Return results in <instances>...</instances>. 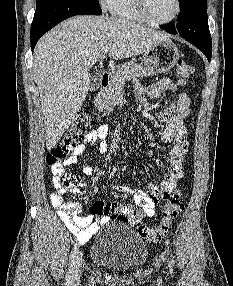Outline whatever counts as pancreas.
<instances>
[{"instance_id":"obj_1","label":"pancreas","mask_w":233,"mask_h":286,"mask_svg":"<svg viewBox=\"0 0 233 286\" xmlns=\"http://www.w3.org/2000/svg\"><path fill=\"white\" fill-rule=\"evenodd\" d=\"M154 74L149 68L132 61L126 62L123 66L111 73L110 85L100 92L96 99L95 106L104 115L113 111L115 100L118 99L126 81L138 77H147Z\"/></svg>"}]
</instances>
